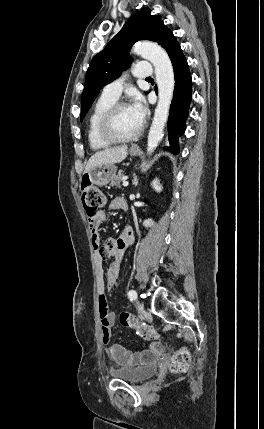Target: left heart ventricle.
<instances>
[{"label":"left heart ventricle","instance_id":"b2bd125f","mask_svg":"<svg viewBox=\"0 0 264 429\" xmlns=\"http://www.w3.org/2000/svg\"><path fill=\"white\" fill-rule=\"evenodd\" d=\"M141 123L135 118L130 107L120 109L113 121V131L120 137L133 135L140 127Z\"/></svg>","mask_w":264,"mask_h":429}]
</instances>
